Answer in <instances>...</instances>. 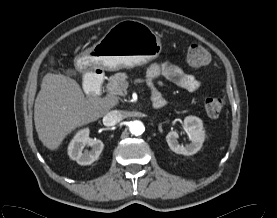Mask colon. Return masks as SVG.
Returning <instances> with one entry per match:
<instances>
[{
	"mask_svg": "<svg viewBox=\"0 0 277 218\" xmlns=\"http://www.w3.org/2000/svg\"><path fill=\"white\" fill-rule=\"evenodd\" d=\"M187 62L192 67H200L209 61L208 51L199 44H192L187 50ZM225 101L216 95L206 96L204 106L207 114L212 118H217L223 111Z\"/></svg>",
	"mask_w": 277,
	"mask_h": 218,
	"instance_id": "colon-1",
	"label": "colon"
}]
</instances>
